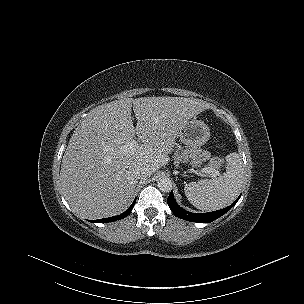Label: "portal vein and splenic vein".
<instances>
[{"label": "portal vein and splenic vein", "mask_w": 304, "mask_h": 304, "mask_svg": "<svg viewBox=\"0 0 304 304\" xmlns=\"http://www.w3.org/2000/svg\"><path fill=\"white\" fill-rule=\"evenodd\" d=\"M137 146H138V142L136 140H133L129 144L124 145L123 148L125 150H128V149H134ZM204 172L207 174H212L213 177L220 175L219 171L216 170L215 168H206V169H204Z\"/></svg>", "instance_id": "18ae733b"}]
</instances>
